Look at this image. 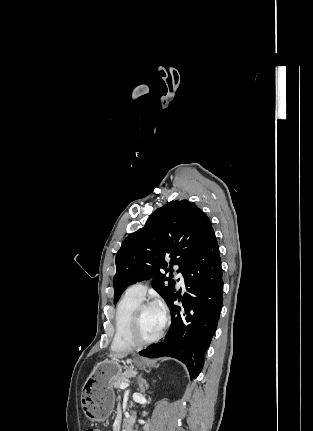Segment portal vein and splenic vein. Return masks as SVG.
Wrapping results in <instances>:
<instances>
[{"mask_svg":"<svg viewBox=\"0 0 313 431\" xmlns=\"http://www.w3.org/2000/svg\"><path fill=\"white\" fill-rule=\"evenodd\" d=\"M129 387V384L128 383H122L121 385H120V389H126V388H128Z\"/></svg>","mask_w":313,"mask_h":431,"instance_id":"1","label":"portal vein and splenic vein"}]
</instances>
